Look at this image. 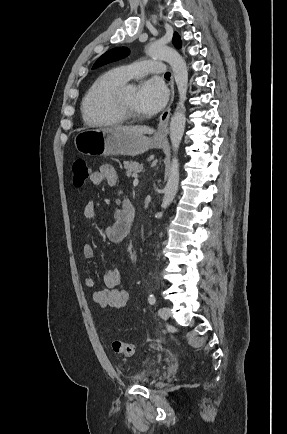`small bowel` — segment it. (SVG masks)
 Masks as SVG:
<instances>
[{
  "label": "small bowel",
  "instance_id": "c3829d8e",
  "mask_svg": "<svg viewBox=\"0 0 287 434\" xmlns=\"http://www.w3.org/2000/svg\"><path fill=\"white\" fill-rule=\"evenodd\" d=\"M90 181L93 185L106 183L109 186H115L118 181L117 172L112 165L103 164L97 171L91 174ZM127 203H130L129 200H124L121 205L115 208L114 222L105 228V236L107 240L112 243H121L129 234L130 225L125 214ZM83 214L87 219H91L95 216L96 203L93 200L85 204ZM82 253L85 258H92L95 255L94 248L90 243H84L82 245ZM122 280V274L118 268H107L102 276L104 288L95 290L91 294L93 302L104 308H123L129 301V293L126 290L118 288ZM83 282L87 288L94 286L92 276H85Z\"/></svg>",
  "mask_w": 287,
  "mask_h": 434
}]
</instances>
